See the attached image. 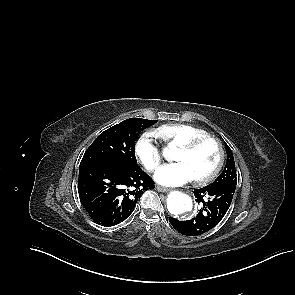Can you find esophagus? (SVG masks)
<instances>
[{"label":"esophagus","instance_id":"obj_1","mask_svg":"<svg viewBox=\"0 0 295 295\" xmlns=\"http://www.w3.org/2000/svg\"><path fill=\"white\" fill-rule=\"evenodd\" d=\"M156 189L159 191V192H168L169 189L166 188V187H162V186H156Z\"/></svg>","mask_w":295,"mask_h":295}]
</instances>
